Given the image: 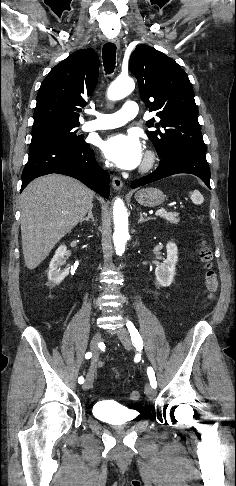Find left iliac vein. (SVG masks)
Masks as SVG:
<instances>
[{
	"instance_id": "1",
	"label": "left iliac vein",
	"mask_w": 236,
	"mask_h": 486,
	"mask_svg": "<svg viewBox=\"0 0 236 486\" xmlns=\"http://www.w3.org/2000/svg\"><path fill=\"white\" fill-rule=\"evenodd\" d=\"M117 336L124 345L126 349H132L133 343L128 330L125 327H120L117 331ZM145 393L148 397H154L156 395V389L151 385L147 384L145 386Z\"/></svg>"
}]
</instances>
